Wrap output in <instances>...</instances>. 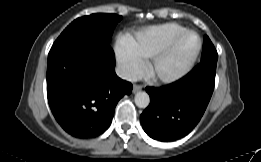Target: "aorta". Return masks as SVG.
Masks as SVG:
<instances>
[{"label":"aorta","instance_id":"obj_1","mask_svg":"<svg viewBox=\"0 0 261 162\" xmlns=\"http://www.w3.org/2000/svg\"><path fill=\"white\" fill-rule=\"evenodd\" d=\"M134 101L139 108H146L150 103V97L146 92L139 91L135 94Z\"/></svg>","mask_w":261,"mask_h":162}]
</instances>
